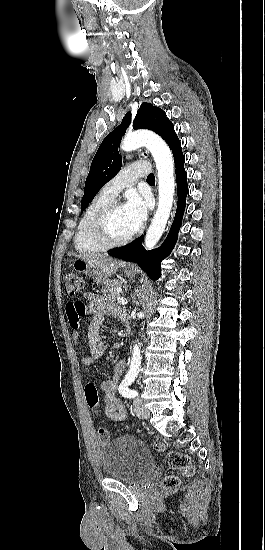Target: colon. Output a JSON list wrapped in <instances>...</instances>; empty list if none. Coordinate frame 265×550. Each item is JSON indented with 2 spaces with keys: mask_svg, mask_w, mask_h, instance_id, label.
<instances>
[{
  "mask_svg": "<svg viewBox=\"0 0 265 550\" xmlns=\"http://www.w3.org/2000/svg\"><path fill=\"white\" fill-rule=\"evenodd\" d=\"M64 287L65 292L69 296H75L79 294L84 288V279L81 275L74 272H67L64 275ZM79 307V312L75 316H71L69 324L72 328L78 327L82 318L85 304L78 300L74 302ZM84 398L87 406L94 412H99V395L97 388L94 384L88 383L84 388ZM98 439L100 443L106 444L110 440V433L106 428H100L98 430ZM154 448L157 451H162L164 446L161 442H155ZM167 462L174 469L180 471L183 475L189 476L194 473V466L191 463L190 458L177 451H169L167 454ZM179 484L178 477L174 475L168 476L164 481V486L167 488H173Z\"/></svg>",
  "mask_w": 265,
  "mask_h": 550,
  "instance_id": "obj_1",
  "label": "colon"
}]
</instances>
